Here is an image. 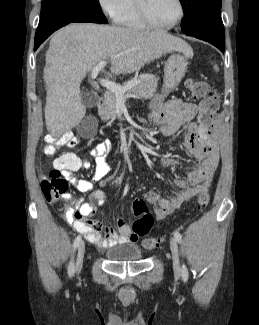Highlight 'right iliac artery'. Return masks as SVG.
Segmentation results:
<instances>
[{
	"instance_id": "82829eb1",
	"label": "right iliac artery",
	"mask_w": 259,
	"mask_h": 325,
	"mask_svg": "<svg viewBox=\"0 0 259 325\" xmlns=\"http://www.w3.org/2000/svg\"><path fill=\"white\" fill-rule=\"evenodd\" d=\"M81 242V236L78 235L75 240H74V243H73V251H75L77 249V247L79 246ZM75 273V265H74V262H73V259L70 261L69 263V266H68V274L70 277H72Z\"/></svg>"
}]
</instances>
